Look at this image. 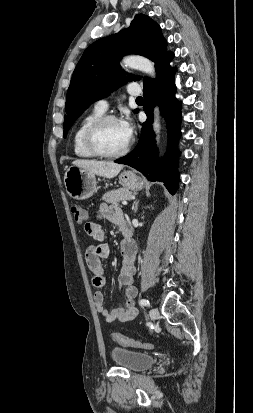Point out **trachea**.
Listing matches in <instances>:
<instances>
[{"mask_svg": "<svg viewBox=\"0 0 253 413\" xmlns=\"http://www.w3.org/2000/svg\"><path fill=\"white\" fill-rule=\"evenodd\" d=\"M136 101L137 102H143V98L141 96H139V97L136 98Z\"/></svg>", "mask_w": 253, "mask_h": 413, "instance_id": "3493384b", "label": "trachea"}]
</instances>
